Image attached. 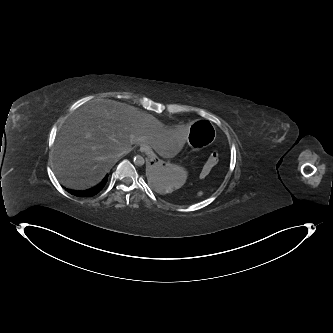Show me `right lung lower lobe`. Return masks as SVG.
<instances>
[{"label":"right lung lower lobe","instance_id":"obj_1","mask_svg":"<svg viewBox=\"0 0 333 333\" xmlns=\"http://www.w3.org/2000/svg\"><path fill=\"white\" fill-rule=\"evenodd\" d=\"M108 180V175H106V177L102 180L101 184H99L98 186H95L91 189L85 190V191H70L68 190V192H70L71 194L77 196V197H92L96 194H98L105 186V184L107 183Z\"/></svg>","mask_w":333,"mask_h":333}]
</instances>
